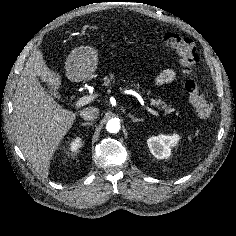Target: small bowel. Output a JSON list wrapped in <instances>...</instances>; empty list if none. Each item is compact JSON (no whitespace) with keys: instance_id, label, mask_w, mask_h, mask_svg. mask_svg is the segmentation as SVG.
Returning <instances> with one entry per match:
<instances>
[{"instance_id":"1","label":"small bowel","mask_w":236,"mask_h":236,"mask_svg":"<svg viewBox=\"0 0 236 236\" xmlns=\"http://www.w3.org/2000/svg\"><path fill=\"white\" fill-rule=\"evenodd\" d=\"M177 76L175 69L169 68L164 70L155 80L156 85H163L172 82Z\"/></svg>"}]
</instances>
